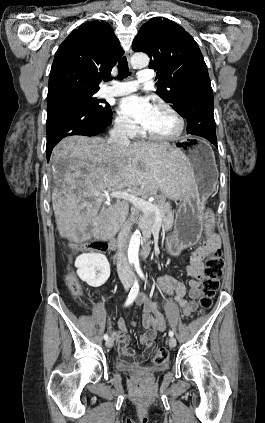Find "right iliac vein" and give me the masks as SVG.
<instances>
[{"instance_id":"1","label":"right iliac vein","mask_w":265,"mask_h":423,"mask_svg":"<svg viewBox=\"0 0 265 423\" xmlns=\"http://www.w3.org/2000/svg\"><path fill=\"white\" fill-rule=\"evenodd\" d=\"M131 285H132V281H130V280H124L123 281V286H124L125 290H129ZM105 344H106L107 347L111 348L114 345V339L113 338L107 339Z\"/></svg>"}]
</instances>
